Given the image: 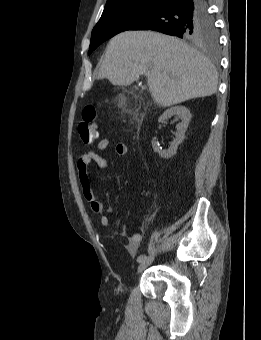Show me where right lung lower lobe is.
Returning <instances> with one entry per match:
<instances>
[{"label":"right lung lower lobe","mask_w":261,"mask_h":340,"mask_svg":"<svg viewBox=\"0 0 261 340\" xmlns=\"http://www.w3.org/2000/svg\"><path fill=\"white\" fill-rule=\"evenodd\" d=\"M207 13L205 0H161L129 30H154L182 38L185 28Z\"/></svg>","instance_id":"right-lung-lower-lobe-1"}]
</instances>
